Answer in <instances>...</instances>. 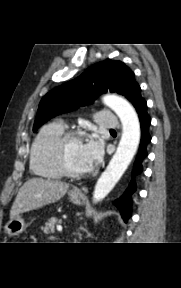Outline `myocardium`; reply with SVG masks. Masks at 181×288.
Here are the masks:
<instances>
[{"instance_id":"1","label":"myocardium","mask_w":181,"mask_h":288,"mask_svg":"<svg viewBox=\"0 0 181 288\" xmlns=\"http://www.w3.org/2000/svg\"><path fill=\"white\" fill-rule=\"evenodd\" d=\"M85 133L82 131H66L56 141L54 146V159L59 171L64 175L72 178H81L92 171L90 166L85 171H75L71 169L66 161L65 151L69 142L83 139Z\"/></svg>"}]
</instances>
